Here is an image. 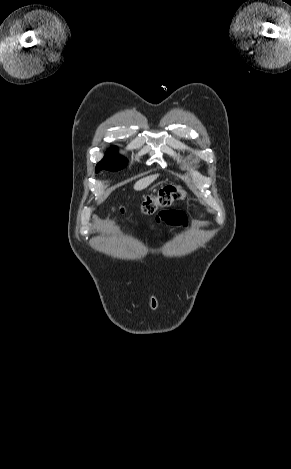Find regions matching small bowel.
Listing matches in <instances>:
<instances>
[{
    "mask_svg": "<svg viewBox=\"0 0 291 469\" xmlns=\"http://www.w3.org/2000/svg\"><path fill=\"white\" fill-rule=\"evenodd\" d=\"M157 223L164 222L170 226L184 227L187 225V217L182 211L170 210L160 214L156 219Z\"/></svg>",
    "mask_w": 291,
    "mask_h": 469,
    "instance_id": "c3829d8e",
    "label": "small bowel"
}]
</instances>
